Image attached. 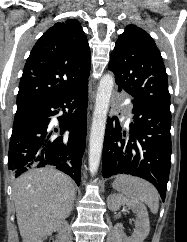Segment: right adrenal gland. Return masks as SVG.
I'll return each instance as SVG.
<instances>
[{"instance_id": "1", "label": "right adrenal gland", "mask_w": 187, "mask_h": 242, "mask_svg": "<svg viewBox=\"0 0 187 242\" xmlns=\"http://www.w3.org/2000/svg\"><path fill=\"white\" fill-rule=\"evenodd\" d=\"M75 200H76V196H74V199H73V205H72V209H71V211H73Z\"/></svg>"}]
</instances>
